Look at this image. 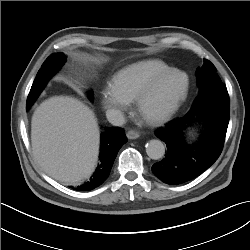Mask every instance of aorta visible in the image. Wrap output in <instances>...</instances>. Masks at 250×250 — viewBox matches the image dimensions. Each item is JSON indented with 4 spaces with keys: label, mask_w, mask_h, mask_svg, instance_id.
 Returning a JSON list of instances; mask_svg holds the SVG:
<instances>
[{
    "label": "aorta",
    "mask_w": 250,
    "mask_h": 250,
    "mask_svg": "<svg viewBox=\"0 0 250 250\" xmlns=\"http://www.w3.org/2000/svg\"><path fill=\"white\" fill-rule=\"evenodd\" d=\"M146 153L151 159H161L165 154V146L160 140H150L146 145Z\"/></svg>",
    "instance_id": "762f6f07"
}]
</instances>
